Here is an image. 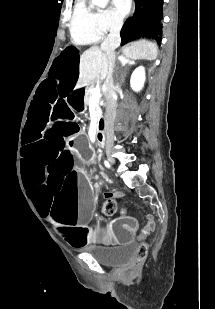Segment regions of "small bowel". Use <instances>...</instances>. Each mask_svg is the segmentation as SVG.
Here are the masks:
<instances>
[{
  "label": "small bowel",
  "instance_id": "1",
  "mask_svg": "<svg viewBox=\"0 0 215 309\" xmlns=\"http://www.w3.org/2000/svg\"><path fill=\"white\" fill-rule=\"evenodd\" d=\"M121 215H122L123 217H126V215H127L126 211H125V210H122V211H121ZM151 223H152V222H150V223L148 224L146 230H150L149 225H150Z\"/></svg>",
  "mask_w": 215,
  "mask_h": 309
}]
</instances>
